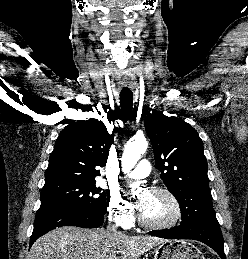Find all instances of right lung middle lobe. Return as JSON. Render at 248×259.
I'll return each mask as SVG.
<instances>
[{"mask_svg": "<svg viewBox=\"0 0 248 259\" xmlns=\"http://www.w3.org/2000/svg\"><path fill=\"white\" fill-rule=\"evenodd\" d=\"M101 190L96 187L95 180L45 183L41 191V206L74 208L94 217L104 216L108 203Z\"/></svg>", "mask_w": 248, "mask_h": 259, "instance_id": "obj_1", "label": "right lung middle lobe"}]
</instances>
